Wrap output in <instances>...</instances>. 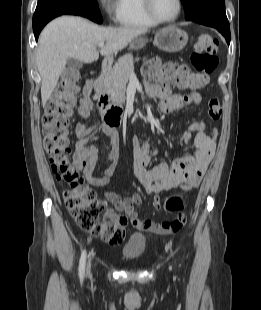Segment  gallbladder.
<instances>
[{
	"instance_id": "bac80fb5",
	"label": "gallbladder",
	"mask_w": 261,
	"mask_h": 310,
	"mask_svg": "<svg viewBox=\"0 0 261 310\" xmlns=\"http://www.w3.org/2000/svg\"><path fill=\"white\" fill-rule=\"evenodd\" d=\"M67 64L69 67H74V68H81L82 67L81 61H79L73 57H69L67 59Z\"/></svg>"
}]
</instances>
